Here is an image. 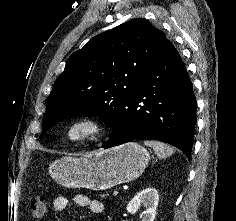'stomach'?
Returning a JSON list of instances; mask_svg holds the SVG:
<instances>
[{
    "mask_svg": "<svg viewBox=\"0 0 236 221\" xmlns=\"http://www.w3.org/2000/svg\"><path fill=\"white\" fill-rule=\"evenodd\" d=\"M150 160L140 144L128 142L80 158L63 157L49 167L52 178L66 188L105 190L138 178Z\"/></svg>",
    "mask_w": 236,
    "mask_h": 221,
    "instance_id": "stomach-1",
    "label": "stomach"
}]
</instances>
